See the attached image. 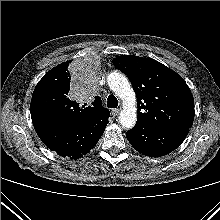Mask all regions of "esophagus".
<instances>
[{"label":"esophagus","instance_id":"esophagus-1","mask_svg":"<svg viewBox=\"0 0 220 220\" xmlns=\"http://www.w3.org/2000/svg\"><path fill=\"white\" fill-rule=\"evenodd\" d=\"M119 111H120L119 109H112L111 113L113 116H117L119 114Z\"/></svg>","mask_w":220,"mask_h":220}]
</instances>
